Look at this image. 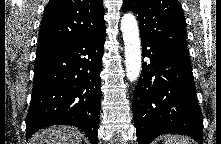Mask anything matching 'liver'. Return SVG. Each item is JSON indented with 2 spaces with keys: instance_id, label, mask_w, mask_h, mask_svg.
Wrapping results in <instances>:
<instances>
[{
  "instance_id": "6515ba94",
  "label": "liver",
  "mask_w": 221,
  "mask_h": 144,
  "mask_svg": "<svg viewBox=\"0 0 221 144\" xmlns=\"http://www.w3.org/2000/svg\"><path fill=\"white\" fill-rule=\"evenodd\" d=\"M29 144H82L79 129L67 125L53 126L36 132Z\"/></svg>"
}]
</instances>
